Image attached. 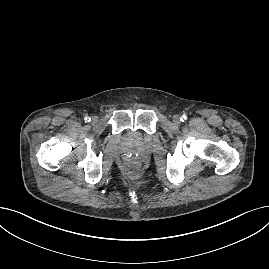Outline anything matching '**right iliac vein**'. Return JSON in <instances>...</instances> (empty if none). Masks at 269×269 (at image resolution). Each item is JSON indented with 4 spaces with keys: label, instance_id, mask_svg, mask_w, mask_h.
Listing matches in <instances>:
<instances>
[{
    "label": "right iliac vein",
    "instance_id": "1",
    "mask_svg": "<svg viewBox=\"0 0 269 269\" xmlns=\"http://www.w3.org/2000/svg\"><path fill=\"white\" fill-rule=\"evenodd\" d=\"M97 121H98V118H97L96 116H93V117L91 118V123H92V124H95Z\"/></svg>",
    "mask_w": 269,
    "mask_h": 269
}]
</instances>
